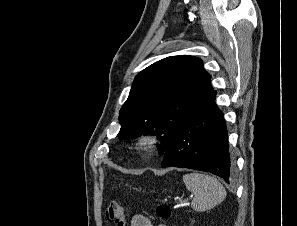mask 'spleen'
<instances>
[{
	"mask_svg": "<svg viewBox=\"0 0 297 226\" xmlns=\"http://www.w3.org/2000/svg\"><path fill=\"white\" fill-rule=\"evenodd\" d=\"M186 188L194 194L191 207L195 211L210 210L226 197L223 185L213 176L189 173L183 176Z\"/></svg>",
	"mask_w": 297,
	"mask_h": 226,
	"instance_id": "spleen-1",
	"label": "spleen"
}]
</instances>
